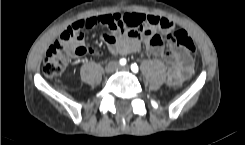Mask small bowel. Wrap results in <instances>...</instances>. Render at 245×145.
<instances>
[{
	"label": "small bowel",
	"mask_w": 245,
	"mask_h": 145,
	"mask_svg": "<svg viewBox=\"0 0 245 145\" xmlns=\"http://www.w3.org/2000/svg\"><path fill=\"white\" fill-rule=\"evenodd\" d=\"M103 19V24L91 25L90 19L77 22L80 28L89 29L97 25L104 27L105 31L102 40L108 45L110 52L114 55H127L140 48L142 43L147 44V53L155 56H162L169 64L167 79L170 85L178 86L182 84L194 70V59L181 45L169 38V32L173 23L153 14L139 12L113 13L97 17ZM161 28L169 38V48H165L163 43L156 41L157 32L154 28ZM148 32V36H138L137 33ZM118 34H122L118 37ZM78 44L87 47V53L93 50L79 40Z\"/></svg>",
	"instance_id": "1"
}]
</instances>
